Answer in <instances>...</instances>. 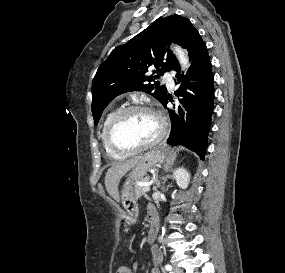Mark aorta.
Listing matches in <instances>:
<instances>
[{"label":"aorta","mask_w":285,"mask_h":273,"mask_svg":"<svg viewBox=\"0 0 285 273\" xmlns=\"http://www.w3.org/2000/svg\"><path fill=\"white\" fill-rule=\"evenodd\" d=\"M174 51H175V53L177 55V58L179 60V63L181 64V66L183 68H187V66H188V57L185 54V52L183 51V49L180 48V47H175Z\"/></svg>","instance_id":"1"}]
</instances>
